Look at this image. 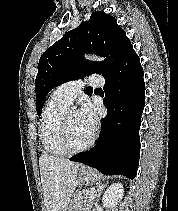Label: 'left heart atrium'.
<instances>
[{"mask_svg": "<svg viewBox=\"0 0 178 211\" xmlns=\"http://www.w3.org/2000/svg\"><path fill=\"white\" fill-rule=\"evenodd\" d=\"M79 116L84 125L89 129L94 130L96 126V114L93 106L89 102H84Z\"/></svg>", "mask_w": 178, "mask_h": 211, "instance_id": "obj_1", "label": "left heart atrium"}]
</instances>
